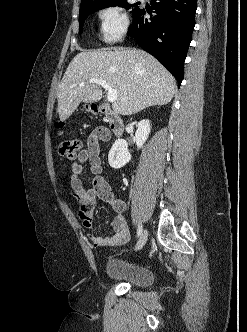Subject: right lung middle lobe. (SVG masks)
<instances>
[{
  "instance_id": "1",
  "label": "right lung middle lobe",
  "mask_w": 247,
  "mask_h": 332,
  "mask_svg": "<svg viewBox=\"0 0 247 332\" xmlns=\"http://www.w3.org/2000/svg\"><path fill=\"white\" fill-rule=\"evenodd\" d=\"M110 6H120V7H124L126 9H131L134 7V9L131 11V13L134 15L137 10L139 9V7L137 6V4L131 5L127 2V0H107L104 2H100V3H96L93 5H89L87 7H83L80 8V14H79V23H80V29H79V34H81L82 30H83V24L84 21L86 19V17L91 14L94 13L95 11H98L100 9L106 8V7H110Z\"/></svg>"
}]
</instances>
